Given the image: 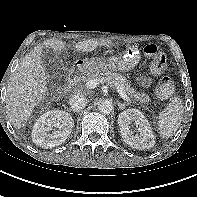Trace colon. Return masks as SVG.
<instances>
[{"label":"colon","instance_id":"5ec220e1","mask_svg":"<svg viewBox=\"0 0 197 197\" xmlns=\"http://www.w3.org/2000/svg\"><path fill=\"white\" fill-rule=\"evenodd\" d=\"M150 59L151 69L155 73H162L167 66L165 54L155 44H148L143 49ZM174 91V83L169 77H163L157 86L156 92L160 98H169Z\"/></svg>","mask_w":197,"mask_h":197}]
</instances>
